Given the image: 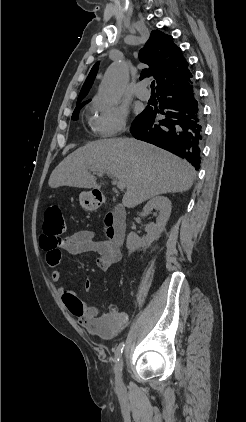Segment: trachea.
<instances>
[{
  "label": "trachea",
  "instance_id": "3493384b",
  "mask_svg": "<svg viewBox=\"0 0 246 422\" xmlns=\"http://www.w3.org/2000/svg\"><path fill=\"white\" fill-rule=\"evenodd\" d=\"M154 87H155V81H152L151 82V89L154 90Z\"/></svg>",
  "mask_w": 246,
  "mask_h": 422
}]
</instances>
